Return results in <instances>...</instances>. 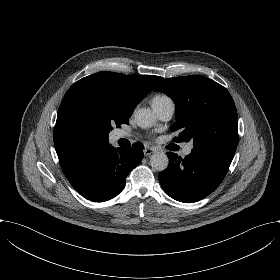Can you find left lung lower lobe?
Segmentation results:
<instances>
[{
  "label": "left lung lower lobe",
  "mask_w": 280,
  "mask_h": 280,
  "mask_svg": "<svg viewBox=\"0 0 280 280\" xmlns=\"http://www.w3.org/2000/svg\"><path fill=\"white\" fill-rule=\"evenodd\" d=\"M169 165L160 172L159 181L173 199L197 202L212 193L224 179L234 153L214 149H192L181 159L167 152Z\"/></svg>",
  "instance_id": "1"
}]
</instances>
